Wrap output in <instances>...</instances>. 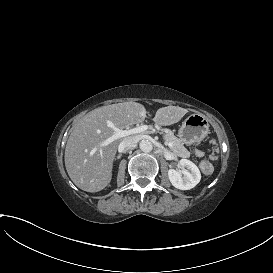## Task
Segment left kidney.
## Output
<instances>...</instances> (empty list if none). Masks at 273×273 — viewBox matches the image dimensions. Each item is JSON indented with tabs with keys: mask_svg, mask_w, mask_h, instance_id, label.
<instances>
[{
	"mask_svg": "<svg viewBox=\"0 0 273 273\" xmlns=\"http://www.w3.org/2000/svg\"><path fill=\"white\" fill-rule=\"evenodd\" d=\"M179 163L181 165L180 170H168L169 181L179 190H190L200 182V171L190 160L181 159Z\"/></svg>",
	"mask_w": 273,
	"mask_h": 273,
	"instance_id": "left-kidney-1",
	"label": "left kidney"
}]
</instances>
